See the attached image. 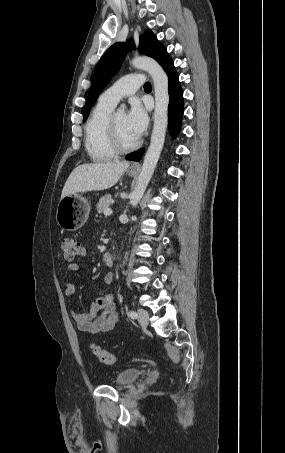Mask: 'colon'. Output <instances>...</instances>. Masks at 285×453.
I'll list each match as a JSON object with an SVG mask.
<instances>
[{
    "instance_id": "1",
    "label": "colon",
    "mask_w": 285,
    "mask_h": 453,
    "mask_svg": "<svg viewBox=\"0 0 285 453\" xmlns=\"http://www.w3.org/2000/svg\"><path fill=\"white\" fill-rule=\"evenodd\" d=\"M80 244L73 238H64L62 241V250L64 258L67 261H73L80 254ZM94 356L102 363L114 365L118 362V358L109 351L100 348L97 345H91Z\"/></svg>"
}]
</instances>
